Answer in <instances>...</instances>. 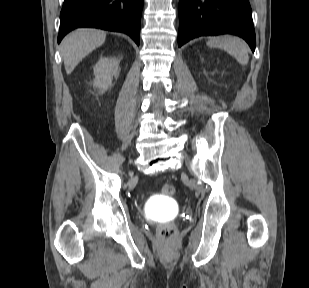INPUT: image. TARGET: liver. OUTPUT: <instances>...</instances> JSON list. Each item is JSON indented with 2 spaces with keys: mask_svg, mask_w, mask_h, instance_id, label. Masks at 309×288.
I'll return each instance as SVG.
<instances>
[{
  "mask_svg": "<svg viewBox=\"0 0 309 288\" xmlns=\"http://www.w3.org/2000/svg\"><path fill=\"white\" fill-rule=\"evenodd\" d=\"M106 39V32L97 29H77L67 35L61 45L67 74L75 69L82 59L100 47Z\"/></svg>",
  "mask_w": 309,
  "mask_h": 288,
  "instance_id": "obj_1",
  "label": "liver"
}]
</instances>
